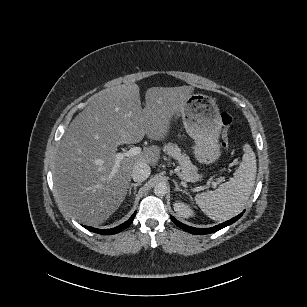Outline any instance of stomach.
Instances as JSON below:
<instances>
[{"label": "stomach", "mask_w": 307, "mask_h": 307, "mask_svg": "<svg viewBox=\"0 0 307 307\" xmlns=\"http://www.w3.org/2000/svg\"><path fill=\"white\" fill-rule=\"evenodd\" d=\"M178 116L182 117L187 134L194 140L195 158L203 164L219 159L222 122L216 101L204 94H192Z\"/></svg>", "instance_id": "0dacf381"}]
</instances>
